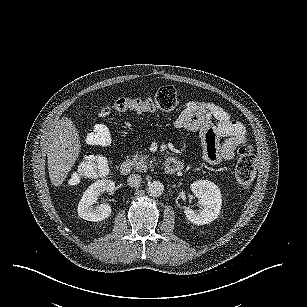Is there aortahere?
I'll use <instances>...</instances> for the list:
<instances>
[{"label":"aorta","mask_w":307,"mask_h":307,"mask_svg":"<svg viewBox=\"0 0 307 307\" xmlns=\"http://www.w3.org/2000/svg\"><path fill=\"white\" fill-rule=\"evenodd\" d=\"M164 184L161 181L155 180L148 184V192L151 196L157 197L164 193Z\"/></svg>","instance_id":"1"}]
</instances>
